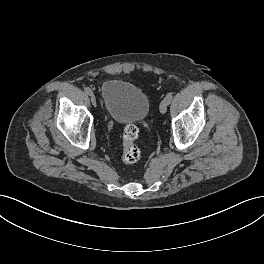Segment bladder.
<instances>
[{"label":"bladder","mask_w":264,"mask_h":264,"mask_svg":"<svg viewBox=\"0 0 264 264\" xmlns=\"http://www.w3.org/2000/svg\"><path fill=\"white\" fill-rule=\"evenodd\" d=\"M101 96L106 115L118 123L141 122L150 109L146 93L124 80L105 81L101 86Z\"/></svg>","instance_id":"bladder-1"}]
</instances>
